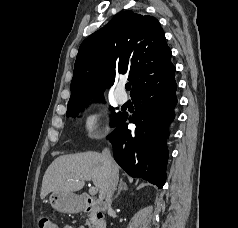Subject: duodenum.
<instances>
[{"label":"duodenum","instance_id":"1","mask_svg":"<svg viewBox=\"0 0 238 228\" xmlns=\"http://www.w3.org/2000/svg\"><path fill=\"white\" fill-rule=\"evenodd\" d=\"M77 207L81 211L92 213L94 228H106V223L103 218L104 213L107 210L105 204L98 202L90 196L81 195L77 200Z\"/></svg>","mask_w":238,"mask_h":228}]
</instances>
